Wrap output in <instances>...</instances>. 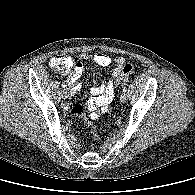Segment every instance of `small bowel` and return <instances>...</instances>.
I'll use <instances>...</instances> for the list:
<instances>
[{
    "instance_id": "1",
    "label": "small bowel",
    "mask_w": 195,
    "mask_h": 195,
    "mask_svg": "<svg viewBox=\"0 0 195 195\" xmlns=\"http://www.w3.org/2000/svg\"><path fill=\"white\" fill-rule=\"evenodd\" d=\"M85 60H92L102 67H109L114 61L117 68L112 71L111 77L103 82L101 85L91 89V97L85 107L82 104H77L72 107L71 112L73 115H80L85 109L91 112V118L97 119L100 116L107 114L110 110V104L114 98V78H116L125 63L123 57H116L112 59L110 56L103 53L94 54H80L72 58V65L74 66L68 84L71 87V95L73 96L79 89V78L86 72L83 62Z\"/></svg>"
}]
</instances>
